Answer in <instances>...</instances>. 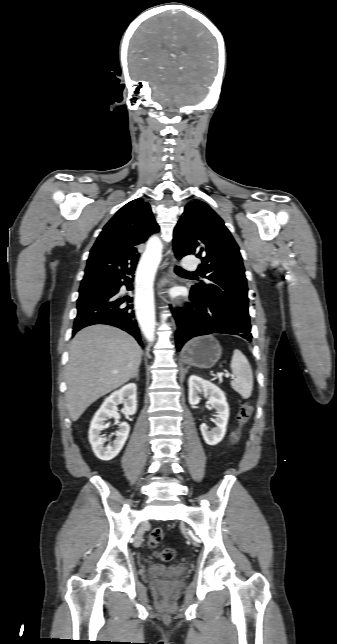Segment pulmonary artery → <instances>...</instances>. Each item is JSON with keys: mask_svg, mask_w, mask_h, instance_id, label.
<instances>
[{"mask_svg": "<svg viewBox=\"0 0 337 644\" xmlns=\"http://www.w3.org/2000/svg\"><path fill=\"white\" fill-rule=\"evenodd\" d=\"M182 266L185 270L194 271L197 268V262L194 257L186 256L182 261Z\"/></svg>", "mask_w": 337, "mask_h": 644, "instance_id": "pulmonary-artery-1", "label": "pulmonary artery"}]
</instances>
